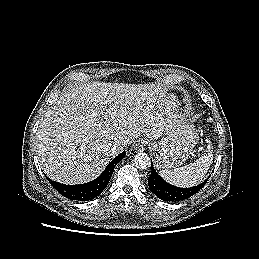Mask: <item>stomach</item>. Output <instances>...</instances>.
I'll return each mask as SVG.
<instances>
[{
	"mask_svg": "<svg viewBox=\"0 0 259 259\" xmlns=\"http://www.w3.org/2000/svg\"><path fill=\"white\" fill-rule=\"evenodd\" d=\"M171 101L170 123L162 139L152 144L156 167L162 170L180 166L192 153L198 140L196 129L181 114L174 96Z\"/></svg>",
	"mask_w": 259,
	"mask_h": 259,
	"instance_id": "0dacf381",
	"label": "stomach"
}]
</instances>
